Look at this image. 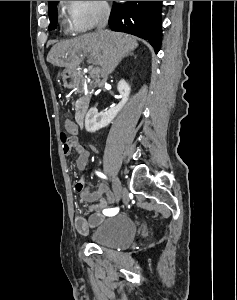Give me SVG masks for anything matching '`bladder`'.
<instances>
[{"instance_id": "31cf9c89", "label": "bladder", "mask_w": 237, "mask_h": 300, "mask_svg": "<svg viewBox=\"0 0 237 300\" xmlns=\"http://www.w3.org/2000/svg\"><path fill=\"white\" fill-rule=\"evenodd\" d=\"M137 232V224L130 216L118 214L106 218L90 231L88 238L100 247L124 249L134 242Z\"/></svg>"}]
</instances>
